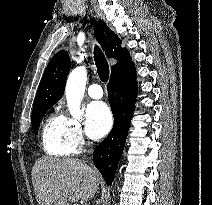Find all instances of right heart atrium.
I'll return each mask as SVG.
<instances>
[{"label":"right heart atrium","mask_w":212,"mask_h":205,"mask_svg":"<svg viewBox=\"0 0 212 205\" xmlns=\"http://www.w3.org/2000/svg\"><path fill=\"white\" fill-rule=\"evenodd\" d=\"M69 139L75 150H79L86 143L82 121L75 116L65 117Z\"/></svg>","instance_id":"right-heart-atrium-1"}]
</instances>
